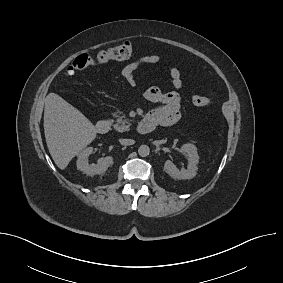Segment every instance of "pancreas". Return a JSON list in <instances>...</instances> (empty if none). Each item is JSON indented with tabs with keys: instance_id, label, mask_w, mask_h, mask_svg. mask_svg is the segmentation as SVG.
Masks as SVG:
<instances>
[{
	"instance_id": "cf45deb5",
	"label": "pancreas",
	"mask_w": 283,
	"mask_h": 283,
	"mask_svg": "<svg viewBox=\"0 0 283 283\" xmlns=\"http://www.w3.org/2000/svg\"><path fill=\"white\" fill-rule=\"evenodd\" d=\"M117 117L116 124H114L115 130L119 132H124L130 129V121L125 116L114 115Z\"/></svg>"
}]
</instances>
